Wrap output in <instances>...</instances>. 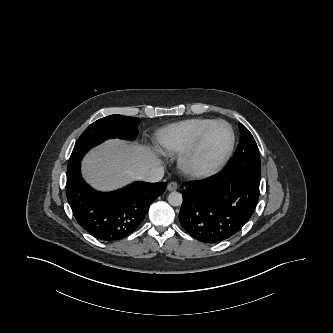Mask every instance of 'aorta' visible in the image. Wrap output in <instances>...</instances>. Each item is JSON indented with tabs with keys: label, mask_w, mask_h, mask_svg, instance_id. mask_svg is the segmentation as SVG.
Returning <instances> with one entry per match:
<instances>
[{
	"label": "aorta",
	"mask_w": 333,
	"mask_h": 333,
	"mask_svg": "<svg viewBox=\"0 0 333 333\" xmlns=\"http://www.w3.org/2000/svg\"><path fill=\"white\" fill-rule=\"evenodd\" d=\"M183 198L179 192H171L168 196V203L172 206H180L182 204Z\"/></svg>",
	"instance_id": "obj_1"
}]
</instances>
